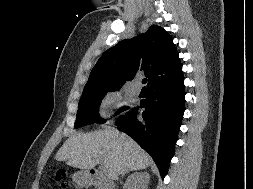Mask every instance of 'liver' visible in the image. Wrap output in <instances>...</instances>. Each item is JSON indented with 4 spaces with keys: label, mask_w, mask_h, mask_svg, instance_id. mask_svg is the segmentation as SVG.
<instances>
[{
    "label": "liver",
    "mask_w": 253,
    "mask_h": 189,
    "mask_svg": "<svg viewBox=\"0 0 253 189\" xmlns=\"http://www.w3.org/2000/svg\"><path fill=\"white\" fill-rule=\"evenodd\" d=\"M55 159L85 170L101 163L110 180L151 164L150 156L132 138L113 128L70 136Z\"/></svg>",
    "instance_id": "1"
}]
</instances>
